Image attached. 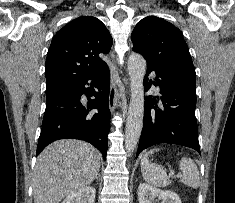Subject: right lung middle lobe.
Listing matches in <instances>:
<instances>
[{"instance_id":"1","label":"right lung middle lobe","mask_w":235,"mask_h":203,"mask_svg":"<svg viewBox=\"0 0 235 203\" xmlns=\"http://www.w3.org/2000/svg\"><path fill=\"white\" fill-rule=\"evenodd\" d=\"M68 85H53V86H47L46 88V97L57 93L58 91L66 88Z\"/></svg>"}]
</instances>
